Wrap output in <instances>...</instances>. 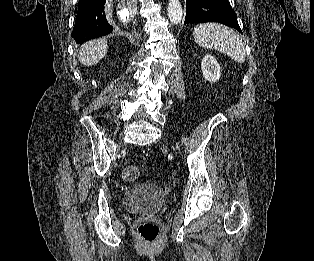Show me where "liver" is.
Returning <instances> with one entry per match:
<instances>
[{
    "instance_id": "liver-1",
    "label": "liver",
    "mask_w": 314,
    "mask_h": 261,
    "mask_svg": "<svg viewBox=\"0 0 314 261\" xmlns=\"http://www.w3.org/2000/svg\"><path fill=\"white\" fill-rule=\"evenodd\" d=\"M107 52L106 39H96L82 45L79 51V61L85 66L98 63Z\"/></svg>"
}]
</instances>
